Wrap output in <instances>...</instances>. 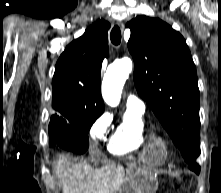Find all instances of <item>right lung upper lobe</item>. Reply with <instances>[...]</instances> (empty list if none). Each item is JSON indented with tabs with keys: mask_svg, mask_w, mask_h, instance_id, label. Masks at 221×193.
Segmentation results:
<instances>
[{
	"mask_svg": "<svg viewBox=\"0 0 221 193\" xmlns=\"http://www.w3.org/2000/svg\"><path fill=\"white\" fill-rule=\"evenodd\" d=\"M109 28L108 22L98 20L61 54L52 81L53 108L57 111L53 117L104 112L100 80L102 61L109 54L106 34Z\"/></svg>",
	"mask_w": 221,
	"mask_h": 193,
	"instance_id": "obj_1",
	"label": "right lung upper lobe"
}]
</instances>
